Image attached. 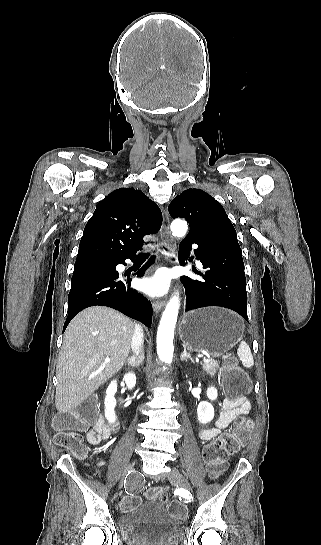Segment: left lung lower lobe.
I'll use <instances>...</instances> for the list:
<instances>
[{
	"mask_svg": "<svg viewBox=\"0 0 321 545\" xmlns=\"http://www.w3.org/2000/svg\"><path fill=\"white\" fill-rule=\"evenodd\" d=\"M192 244L196 259L206 269L203 280L181 277L186 290V311L221 306L239 313L247 322L244 263L235 230H213L191 235L179 245V262L185 265Z\"/></svg>",
	"mask_w": 321,
	"mask_h": 545,
	"instance_id": "obj_1",
	"label": "left lung lower lobe"
}]
</instances>
